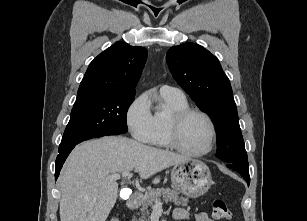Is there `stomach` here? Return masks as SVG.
I'll use <instances>...</instances> for the list:
<instances>
[{
    "instance_id": "obj_1",
    "label": "stomach",
    "mask_w": 307,
    "mask_h": 221,
    "mask_svg": "<svg viewBox=\"0 0 307 221\" xmlns=\"http://www.w3.org/2000/svg\"><path fill=\"white\" fill-rule=\"evenodd\" d=\"M174 188L184 195L196 198L205 194L212 184L209 167L202 161L189 159L174 165L171 171Z\"/></svg>"
}]
</instances>
